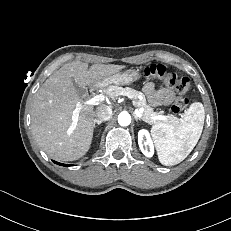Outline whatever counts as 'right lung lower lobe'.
I'll return each mask as SVG.
<instances>
[{
    "instance_id": "98d812e1",
    "label": "right lung lower lobe",
    "mask_w": 231,
    "mask_h": 231,
    "mask_svg": "<svg viewBox=\"0 0 231 231\" xmlns=\"http://www.w3.org/2000/svg\"><path fill=\"white\" fill-rule=\"evenodd\" d=\"M56 164H59V165H62V166H68V165H65V164H62V163H58V162H55Z\"/></svg>"
}]
</instances>
